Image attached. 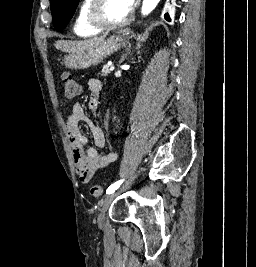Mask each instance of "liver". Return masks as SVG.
I'll return each instance as SVG.
<instances>
[{"instance_id": "liver-1", "label": "liver", "mask_w": 256, "mask_h": 267, "mask_svg": "<svg viewBox=\"0 0 256 267\" xmlns=\"http://www.w3.org/2000/svg\"><path fill=\"white\" fill-rule=\"evenodd\" d=\"M106 36H95V38H90V40H76V42H72V40H57L54 46L57 50H61V52H85L89 46H98L100 42H104Z\"/></svg>"}]
</instances>
